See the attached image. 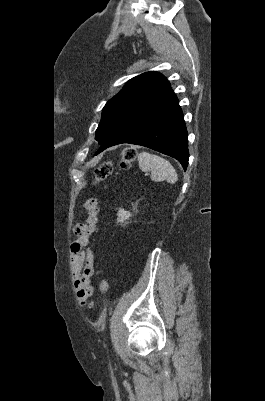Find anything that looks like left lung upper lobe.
Segmentation results:
<instances>
[{
    "instance_id": "obj_1",
    "label": "left lung upper lobe",
    "mask_w": 265,
    "mask_h": 401,
    "mask_svg": "<svg viewBox=\"0 0 265 401\" xmlns=\"http://www.w3.org/2000/svg\"><path fill=\"white\" fill-rule=\"evenodd\" d=\"M169 88L168 80L158 72H146L129 80L104 106L95 139L102 144L132 115Z\"/></svg>"
}]
</instances>
